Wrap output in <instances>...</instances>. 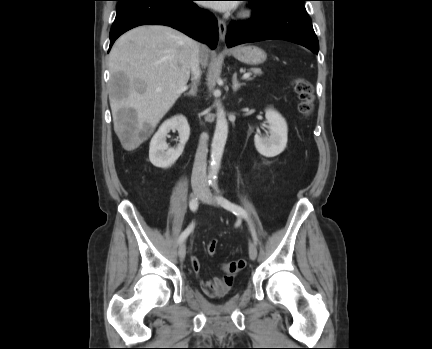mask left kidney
I'll return each instance as SVG.
<instances>
[{
  "instance_id": "1",
  "label": "left kidney",
  "mask_w": 432,
  "mask_h": 349,
  "mask_svg": "<svg viewBox=\"0 0 432 349\" xmlns=\"http://www.w3.org/2000/svg\"><path fill=\"white\" fill-rule=\"evenodd\" d=\"M265 116L269 125V135L256 134L254 144L261 155L272 158L282 153L286 148L288 127L285 119L274 109H266Z\"/></svg>"
}]
</instances>
